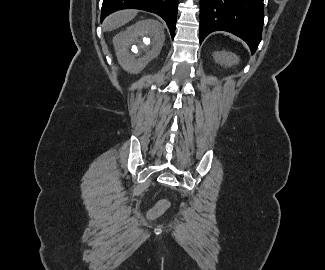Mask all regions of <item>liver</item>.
I'll list each match as a JSON object with an SVG mask.
<instances>
[{
	"mask_svg": "<svg viewBox=\"0 0 325 270\" xmlns=\"http://www.w3.org/2000/svg\"><path fill=\"white\" fill-rule=\"evenodd\" d=\"M137 15L136 10H124L113 13L107 17L104 21V30L112 31L115 30L129 21H131Z\"/></svg>",
	"mask_w": 325,
	"mask_h": 270,
	"instance_id": "6515ba94",
	"label": "liver"
}]
</instances>
